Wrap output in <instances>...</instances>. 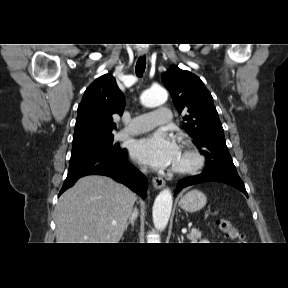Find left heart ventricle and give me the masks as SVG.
I'll return each mask as SVG.
<instances>
[{
	"label": "left heart ventricle",
	"instance_id": "obj_1",
	"mask_svg": "<svg viewBox=\"0 0 288 288\" xmlns=\"http://www.w3.org/2000/svg\"><path fill=\"white\" fill-rule=\"evenodd\" d=\"M183 162H184V157H183V155H182V152H180V153H179L178 160H177V162H176L175 165L181 164V163H183Z\"/></svg>",
	"mask_w": 288,
	"mask_h": 288
}]
</instances>
